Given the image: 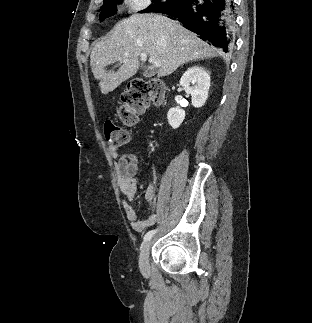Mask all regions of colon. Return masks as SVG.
Here are the masks:
<instances>
[{
    "label": "colon",
    "mask_w": 312,
    "mask_h": 323,
    "mask_svg": "<svg viewBox=\"0 0 312 323\" xmlns=\"http://www.w3.org/2000/svg\"><path fill=\"white\" fill-rule=\"evenodd\" d=\"M165 96L161 78L133 77L127 82L117 108L118 122H107L105 142L112 147L125 146L130 140V128L137 123L138 114L149 105H159Z\"/></svg>",
    "instance_id": "1"
}]
</instances>
